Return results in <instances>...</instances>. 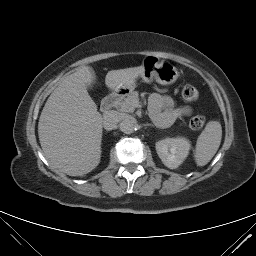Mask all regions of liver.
Instances as JSON below:
<instances>
[{"instance_id": "6515ba94", "label": "liver", "mask_w": 256, "mask_h": 256, "mask_svg": "<svg viewBox=\"0 0 256 256\" xmlns=\"http://www.w3.org/2000/svg\"><path fill=\"white\" fill-rule=\"evenodd\" d=\"M143 70L139 66L109 71L105 84L119 92ZM94 81L90 66L66 76L48 98L39 118L38 135L46 157L53 167L70 176L87 174L100 163L103 118L87 91Z\"/></svg>"}]
</instances>
